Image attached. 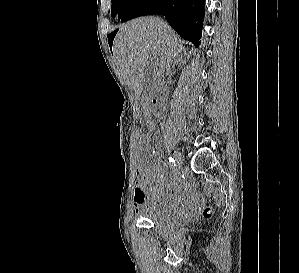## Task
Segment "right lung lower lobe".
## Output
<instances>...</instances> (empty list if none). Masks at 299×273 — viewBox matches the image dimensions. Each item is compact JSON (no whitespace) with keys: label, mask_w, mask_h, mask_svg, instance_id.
Here are the masks:
<instances>
[{"label":"right lung lower lobe","mask_w":299,"mask_h":273,"mask_svg":"<svg viewBox=\"0 0 299 273\" xmlns=\"http://www.w3.org/2000/svg\"><path fill=\"white\" fill-rule=\"evenodd\" d=\"M152 14H162L185 40L200 45L204 20V0H136L121 22Z\"/></svg>","instance_id":"1"}]
</instances>
